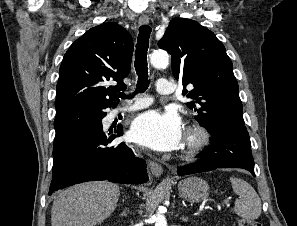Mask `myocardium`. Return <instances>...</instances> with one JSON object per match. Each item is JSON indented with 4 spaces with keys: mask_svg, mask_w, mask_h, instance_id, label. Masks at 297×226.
<instances>
[{
    "mask_svg": "<svg viewBox=\"0 0 297 226\" xmlns=\"http://www.w3.org/2000/svg\"><path fill=\"white\" fill-rule=\"evenodd\" d=\"M210 143V134L199 124H192L185 132L182 157L185 160L195 159Z\"/></svg>",
    "mask_w": 297,
    "mask_h": 226,
    "instance_id": "myocardium-1",
    "label": "myocardium"
}]
</instances>
